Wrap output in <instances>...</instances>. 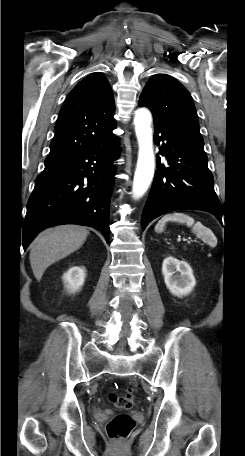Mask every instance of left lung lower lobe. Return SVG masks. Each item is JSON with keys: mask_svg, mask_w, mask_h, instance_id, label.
<instances>
[{"mask_svg": "<svg viewBox=\"0 0 245 456\" xmlns=\"http://www.w3.org/2000/svg\"><path fill=\"white\" fill-rule=\"evenodd\" d=\"M154 126V139L163 142L159 154L167 158L169 166H161L157 156V170L141 217L142 230L153 219L180 209L206 211L221 220V203L203 144L168 125Z\"/></svg>", "mask_w": 245, "mask_h": 456, "instance_id": "0a47b994", "label": "left lung lower lobe"}]
</instances>
